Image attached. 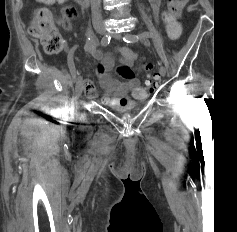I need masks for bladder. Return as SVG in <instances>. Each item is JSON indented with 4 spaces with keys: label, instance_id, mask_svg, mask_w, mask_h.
<instances>
[{
    "label": "bladder",
    "instance_id": "obj_1",
    "mask_svg": "<svg viewBox=\"0 0 237 232\" xmlns=\"http://www.w3.org/2000/svg\"><path fill=\"white\" fill-rule=\"evenodd\" d=\"M137 106V103H129V101L124 104V105H119V104H111L110 108L114 109V110H127V109H131Z\"/></svg>",
    "mask_w": 237,
    "mask_h": 232
}]
</instances>
